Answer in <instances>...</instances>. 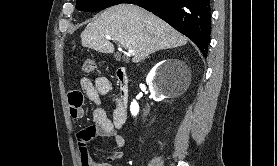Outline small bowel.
Masks as SVG:
<instances>
[{
    "instance_id": "1",
    "label": "small bowel",
    "mask_w": 277,
    "mask_h": 166,
    "mask_svg": "<svg viewBox=\"0 0 277 166\" xmlns=\"http://www.w3.org/2000/svg\"><path fill=\"white\" fill-rule=\"evenodd\" d=\"M81 90H72L68 93L69 114L73 120L83 117V104L85 98L91 101L95 108L93 110L94 124L82 127L77 132V143L79 160L81 166H111L108 162L118 160L123 157L121 150L125 145L124 138L119 134V130L126 119L122 118L118 109V97L114 98L115 109L112 118L107 116L106 111L101 107V96L108 95L112 91L111 82L106 77H97L94 81L89 78L80 80ZM113 139L118 150L107 157V161L97 164L89 153V144L95 138Z\"/></svg>"
}]
</instances>
